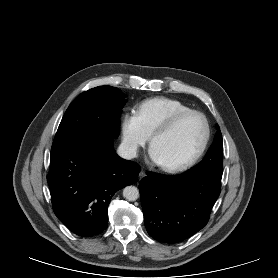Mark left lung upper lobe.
I'll use <instances>...</instances> for the list:
<instances>
[{"label": "left lung upper lobe", "instance_id": "5c2ea615", "mask_svg": "<svg viewBox=\"0 0 278 278\" xmlns=\"http://www.w3.org/2000/svg\"><path fill=\"white\" fill-rule=\"evenodd\" d=\"M222 156H223L222 134L218 127V131L215 134L214 142L209 148L204 159L198 165H196L194 168H192L186 173L213 176L221 179L223 173Z\"/></svg>", "mask_w": 278, "mask_h": 278}]
</instances>
